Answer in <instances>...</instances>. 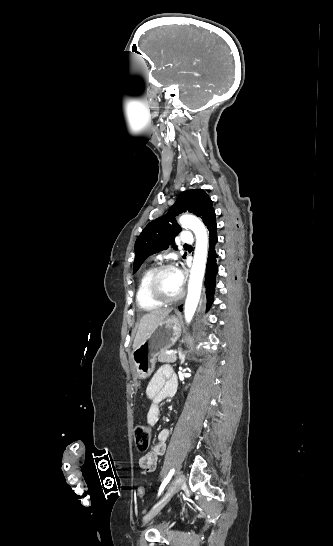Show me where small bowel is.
Instances as JSON below:
<instances>
[{
	"label": "small bowel",
	"instance_id": "small-bowel-1",
	"mask_svg": "<svg viewBox=\"0 0 333 546\" xmlns=\"http://www.w3.org/2000/svg\"><path fill=\"white\" fill-rule=\"evenodd\" d=\"M177 379L169 365L161 366L153 375L146 387V397L150 401L147 412V423L154 426L161 416V403L164 399L175 394ZM169 438V430L162 429L158 432L157 442L152 450L139 458V466L143 473L153 472L157 460L165 454L166 443Z\"/></svg>",
	"mask_w": 333,
	"mask_h": 546
}]
</instances>
